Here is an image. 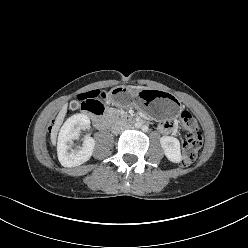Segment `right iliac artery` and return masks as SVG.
Wrapping results in <instances>:
<instances>
[{
    "label": "right iliac artery",
    "mask_w": 248,
    "mask_h": 248,
    "mask_svg": "<svg viewBox=\"0 0 248 248\" xmlns=\"http://www.w3.org/2000/svg\"><path fill=\"white\" fill-rule=\"evenodd\" d=\"M136 127H137V128L141 127V124H136Z\"/></svg>",
    "instance_id": "right-iliac-artery-1"
}]
</instances>
